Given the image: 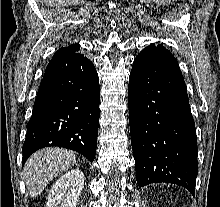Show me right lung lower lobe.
Returning <instances> with one entry per match:
<instances>
[{
  "label": "right lung lower lobe",
  "mask_w": 220,
  "mask_h": 207,
  "mask_svg": "<svg viewBox=\"0 0 220 207\" xmlns=\"http://www.w3.org/2000/svg\"><path fill=\"white\" fill-rule=\"evenodd\" d=\"M99 79L81 54L53 57L45 70L23 144V164L38 149L58 146L95 158Z\"/></svg>",
  "instance_id": "obj_1"
}]
</instances>
